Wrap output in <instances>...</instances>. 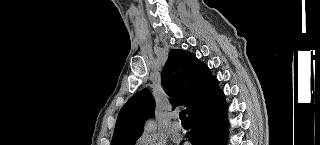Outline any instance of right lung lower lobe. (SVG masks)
Instances as JSON below:
<instances>
[{"label":"right lung lower lobe","mask_w":320,"mask_h":145,"mask_svg":"<svg viewBox=\"0 0 320 145\" xmlns=\"http://www.w3.org/2000/svg\"><path fill=\"white\" fill-rule=\"evenodd\" d=\"M190 131L186 138L192 145H225L228 120L227 104L215 78L204 104L188 115ZM184 140L181 142L183 143Z\"/></svg>","instance_id":"obj_1"}]
</instances>
